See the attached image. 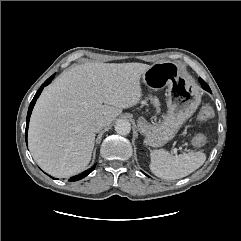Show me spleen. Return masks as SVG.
Wrapping results in <instances>:
<instances>
[{
  "instance_id": "spleen-1",
  "label": "spleen",
  "mask_w": 241,
  "mask_h": 241,
  "mask_svg": "<svg viewBox=\"0 0 241 241\" xmlns=\"http://www.w3.org/2000/svg\"><path fill=\"white\" fill-rule=\"evenodd\" d=\"M150 170L154 175L165 180L183 178L201 167L206 155L203 152H189L173 156L163 149L150 153Z\"/></svg>"
}]
</instances>
